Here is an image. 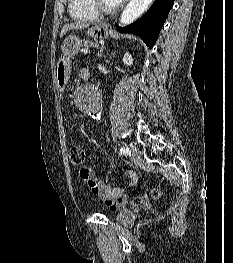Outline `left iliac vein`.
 Listing matches in <instances>:
<instances>
[{
  "label": "left iliac vein",
  "instance_id": "obj_1",
  "mask_svg": "<svg viewBox=\"0 0 233 263\" xmlns=\"http://www.w3.org/2000/svg\"><path fill=\"white\" fill-rule=\"evenodd\" d=\"M130 156L134 161H137L140 158L139 149L135 145L130 147Z\"/></svg>",
  "mask_w": 233,
  "mask_h": 263
}]
</instances>
